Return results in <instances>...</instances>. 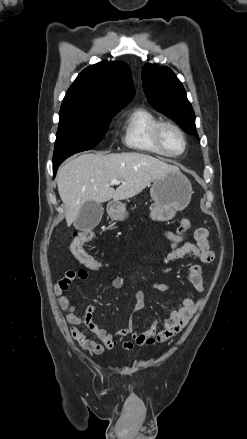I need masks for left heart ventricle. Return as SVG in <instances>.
<instances>
[{
  "label": "left heart ventricle",
  "instance_id": "left-heart-ventricle-1",
  "mask_svg": "<svg viewBox=\"0 0 247 439\" xmlns=\"http://www.w3.org/2000/svg\"><path fill=\"white\" fill-rule=\"evenodd\" d=\"M163 143L171 153H179L183 148V141L180 135L171 128H165L162 133Z\"/></svg>",
  "mask_w": 247,
  "mask_h": 439
}]
</instances>
